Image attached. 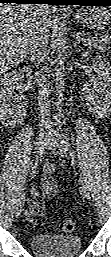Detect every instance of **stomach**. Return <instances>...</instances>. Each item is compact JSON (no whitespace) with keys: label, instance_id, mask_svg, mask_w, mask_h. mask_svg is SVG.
I'll return each mask as SVG.
<instances>
[{"label":"stomach","instance_id":"1","mask_svg":"<svg viewBox=\"0 0 111 257\" xmlns=\"http://www.w3.org/2000/svg\"><path fill=\"white\" fill-rule=\"evenodd\" d=\"M74 17L83 26L96 30H103L110 21V14L104 7L81 8Z\"/></svg>","mask_w":111,"mask_h":257}]
</instances>
